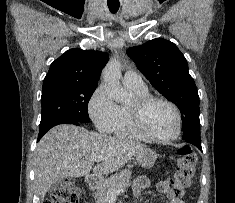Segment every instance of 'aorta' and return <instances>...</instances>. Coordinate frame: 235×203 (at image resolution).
<instances>
[{"instance_id":"762f6f07","label":"aorta","mask_w":235,"mask_h":203,"mask_svg":"<svg viewBox=\"0 0 235 203\" xmlns=\"http://www.w3.org/2000/svg\"><path fill=\"white\" fill-rule=\"evenodd\" d=\"M120 63L116 60H111L105 66L102 72L103 80L107 86V92L116 102L122 103L128 99V94L120 86L121 69Z\"/></svg>"}]
</instances>
